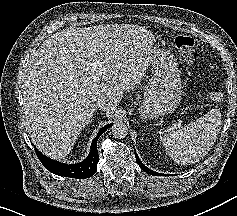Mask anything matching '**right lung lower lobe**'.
Listing matches in <instances>:
<instances>
[{
  "label": "right lung lower lobe",
  "mask_w": 237,
  "mask_h": 216,
  "mask_svg": "<svg viewBox=\"0 0 237 216\" xmlns=\"http://www.w3.org/2000/svg\"><path fill=\"white\" fill-rule=\"evenodd\" d=\"M112 125L113 124H107L106 126L100 129L99 133L92 141L89 156L81 163L71 165L62 164L60 162L49 159L41 152H39L36 148L35 152L41 163L45 166V168L53 174L70 178H89L93 176L94 173L97 171V163L99 162L97 140Z\"/></svg>",
  "instance_id": "98d812e1"
}]
</instances>
